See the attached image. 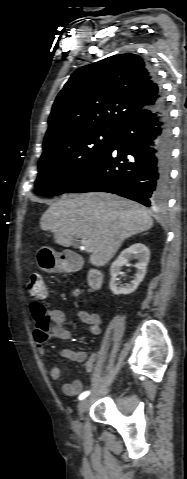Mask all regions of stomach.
<instances>
[{
  "label": "stomach",
  "mask_w": 187,
  "mask_h": 479,
  "mask_svg": "<svg viewBox=\"0 0 187 479\" xmlns=\"http://www.w3.org/2000/svg\"><path fill=\"white\" fill-rule=\"evenodd\" d=\"M37 264L40 269L48 273L66 271V262L61 255L50 247H41L37 252Z\"/></svg>",
  "instance_id": "0dacf381"
}]
</instances>
